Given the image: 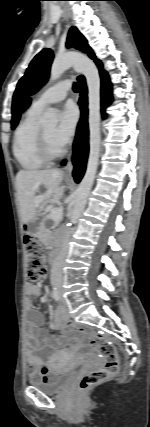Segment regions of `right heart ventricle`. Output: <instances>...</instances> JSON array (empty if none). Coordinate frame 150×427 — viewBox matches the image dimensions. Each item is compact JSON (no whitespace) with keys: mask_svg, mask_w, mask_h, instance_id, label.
<instances>
[{"mask_svg":"<svg viewBox=\"0 0 150 427\" xmlns=\"http://www.w3.org/2000/svg\"><path fill=\"white\" fill-rule=\"evenodd\" d=\"M40 113L41 110L31 106L25 113L14 135V157L20 167L27 171L39 170L46 164V162L40 158L37 148L40 129L37 124V118Z\"/></svg>","mask_w":150,"mask_h":427,"instance_id":"1","label":"right heart ventricle"}]
</instances>
